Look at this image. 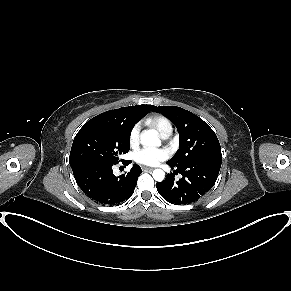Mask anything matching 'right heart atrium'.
I'll return each mask as SVG.
<instances>
[{
	"mask_svg": "<svg viewBox=\"0 0 291 291\" xmlns=\"http://www.w3.org/2000/svg\"><path fill=\"white\" fill-rule=\"evenodd\" d=\"M140 130H141V125L139 123H136L131 128L130 133H129V142L131 145H135L139 141Z\"/></svg>",
	"mask_w": 291,
	"mask_h": 291,
	"instance_id": "obj_1",
	"label": "right heart atrium"
}]
</instances>
